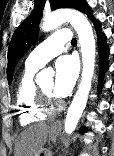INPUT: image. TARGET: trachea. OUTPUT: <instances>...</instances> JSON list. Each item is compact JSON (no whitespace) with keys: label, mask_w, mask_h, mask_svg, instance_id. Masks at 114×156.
<instances>
[{"label":"trachea","mask_w":114,"mask_h":156,"mask_svg":"<svg viewBox=\"0 0 114 156\" xmlns=\"http://www.w3.org/2000/svg\"><path fill=\"white\" fill-rule=\"evenodd\" d=\"M71 43H72V44H76V43H77L76 39L73 38V39L71 40Z\"/></svg>","instance_id":"obj_1"}]
</instances>
